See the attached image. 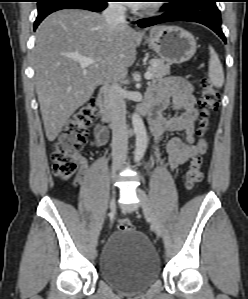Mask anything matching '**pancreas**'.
<instances>
[{"label":"pancreas","instance_id":"pancreas-1","mask_svg":"<svg viewBox=\"0 0 248 299\" xmlns=\"http://www.w3.org/2000/svg\"><path fill=\"white\" fill-rule=\"evenodd\" d=\"M148 71L152 74L151 79H159L170 74V65L162 59L154 58L150 60Z\"/></svg>","mask_w":248,"mask_h":299}]
</instances>
